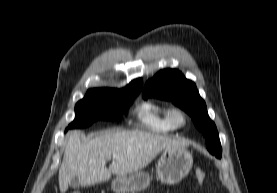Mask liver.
<instances>
[{
  "label": "liver",
  "instance_id": "6515ba94",
  "mask_svg": "<svg viewBox=\"0 0 277 193\" xmlns=\"http://www.w3.org/2000/svg\"><path fill=\"white\" fill-rule=\"evenodd\" d=\"M82 136L80 131L67 134L58 175L61 193L67 191L74 178L89 186L109 180L112 174L126 176L146 167L165 149L188 146L185 140L140 130H107L85 142ZM113 154L117 157L107 168L106 162Z\"/></svg>",
  "mask_w": 277,
  "mask_h": 193
}]
</instances>
